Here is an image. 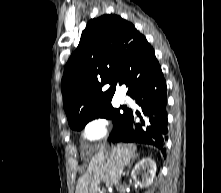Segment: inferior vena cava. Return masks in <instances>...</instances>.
I'll return each mask as SVG.
<instances>
[{
  "mask_svg": "<svg viewBox=\"0 0 221 193\" xmlns=\"http://www.w3.org/2000/svg\"><path fill=\"white\" fill-rule=\"evenodd\" d=\"M119 174H120V176L123 174V167L122 166L119 169Z\"/></svg>",
  "mask_w": 221,
  "mask_h": 193,
  "instance_id": "obj_1",
  "label": "inferior vena cava"
}]
</instances>
